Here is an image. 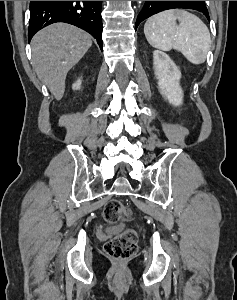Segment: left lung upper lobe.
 I'll list each match as a JSON object with an SVG mask.
<instances>
[{"label": "left lung upper lobe", "mask_w": 237, "mask_h": 300, "mask_svg": "<svg viewBox=\"0 0 237 300\" xmlns=\"http://www.w3.org/2000/svg\"><path fill=\"white\" fill-rule=\"evenodd\" d=\"M175 8L197 10L203 13V15L210 20L205 1H146L144 7L137 17L136 28L141 21L147 19L153 14Z\"/></svg>", "instance_id": "1"}]
</instances>
